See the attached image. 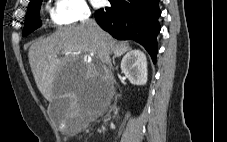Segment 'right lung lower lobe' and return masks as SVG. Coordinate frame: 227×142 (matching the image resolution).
Listing matches in <instances>:
<instances>
[{
	"mask_svg": "<svg viewBox=\"0 0 227 142\" xmlns=\"http://www.w3.org/2000/svg\"><path fill=\"white\" fill-rule=\"evenodd\" d=\"M111 7L95 12V19L102 29L116 39L134 40L149 52L156 61L157 40L161 15L159 0H109Z\"/></svg>",
	"mask_w": 227,
	"mask_h": 142,
	"instance_id": "obj_1",
	"label": "right lung lower lobe"
}]
</instances>
